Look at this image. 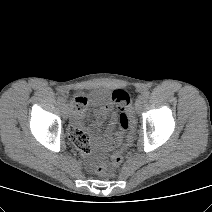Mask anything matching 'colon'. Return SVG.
Here are the masks:
<instances>
[{
  "label": "colon",
  "mask_w": 212,
  "mask_h": 212,
  "mask_svg": "<svg viewBox=\"0 0 212 212\" xmlns=\"http://www.w3.org/2000/svg\"><path fill=\"white\" fill-rule=\"evenodd\" d=\"M112 99L121 107V113L119 115V127L123 132H130L133 128V118L127 112L131 104L130 95L125 90H114L112 92ZM71 107L74 111H82L85 108V102L81 98H75L71 102ZM75 145L81 149L82 151H86L87 148L85 144L77 141L76 139L72 140ZM123 161L122 150L115 152L111 158V165L112 167L119 166ZM97 174L100 176H109L111 175V168L107 165H100L97 168Z\"/></svg>",
  "instance_id": "colon-1"
}]
</instances>
